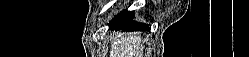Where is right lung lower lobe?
<instances>
[{"instance_id":"98d812e1","label":"right lung lower lobe","mask_w":249,"mask_h":57,"mask_svg":"<svg viewBox=\"0 0 249 57\" xmlns=\"http://www.w3.org/2000/svg\"><path fill=\"white\" fill-rule=\"evenodd\" d=\"M134 17L133 12L131 11H123L122 13L118 14L111 22L109 23L111 28H122L131 31H143L148 30L149 25L138 23L132 20Z\"/></svg>"}]
</instances>
